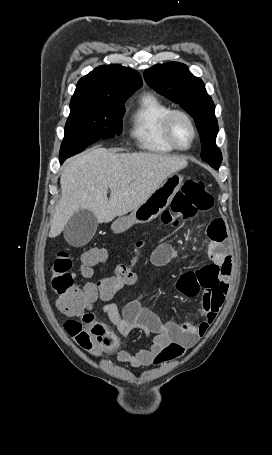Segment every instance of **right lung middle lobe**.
<instances>
[{
	"label": "right lung middle lobe",
	"mask_w": 272,
	"mask_h": 455,
	"mask_svg": "<svg viewBox=\"0 0 272 455\" xmlns=\"http://www.w3.org/2000/svg\"><path fill=\"white\" fill-rule=\"evenodd\" d=\"M124 111V104L108 107L70 106L60 160L64 161L100 139L120 135Z\"/></svg>",
	"instance_id": "obj_1"
}]
</instances>
